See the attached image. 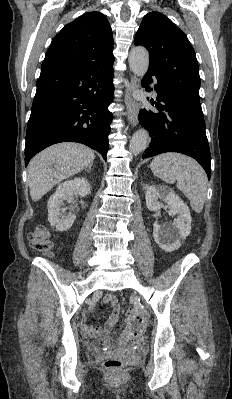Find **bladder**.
<instances>
[{
  "label": "bladder",
  "instance_id": "31cf9c89",
  "mask_svg": "<svg viewBox=\"0 0 232 399\" xmlns=\"http://www.w3.org/2000/svg\"><path fill=\"white\" fill-rule=\"evenodd\" d=\"M85 349L88 352L96 353L100 351V346L95 342L89 341L85 343Z\"/></svg>",
  "mask_w": 232,
  "mask_h": 399
}]
</instances>
